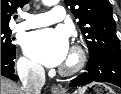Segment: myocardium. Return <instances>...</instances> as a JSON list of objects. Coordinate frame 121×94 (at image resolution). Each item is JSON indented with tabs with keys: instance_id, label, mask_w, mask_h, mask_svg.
I'll return each mask as SVG.
<instances>
[{
	"instance_id": "1",
	"label": "myocardium",
	"mask_w": 121,
	"mask_h": 94,
	"mask_svg": "<svg viewBox=\"0 0 121 94\" xmlns=\"http://www.w3.org/2000/svg\"><path fill=\"white\" fill-rule=\"evenodd\" d=\"M72 60L66 65H62L59 69L60 74L63 76H72L82 70L86 63V53L84 49L78 45H73L71 50Z\"/></svg>"
}]
</instances>
